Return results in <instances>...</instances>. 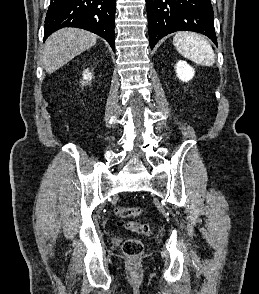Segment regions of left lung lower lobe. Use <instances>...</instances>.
<instances>
[{
  "label": "left lung lower lobe",
  "instance_id": "0a47b994",
  "mask_svg": "<svg viewBox=\"0 0 259 294\" xmlns=\"http://www.w3.org/2000/svg\"><path fill=\"white\" fill-rule=\"evenodd\" d=\"M146 8L151 48L176 31L204 34L217 45L210 0H146Z\"/></svg>",
  "mask_w": 259,
  "mask_h": 294
}]
</instances>
